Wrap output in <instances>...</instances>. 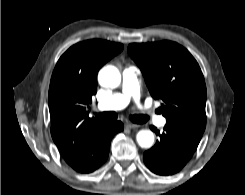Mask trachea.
I'll list each match as a JSON object with an SVG mask.
<instances>
[{
  "label": "trachea",
  "mask_w": 245,
  "mask_h": 195,
  "mask_svg": "<svg viewBox=\"0 0 245 195\" xmlns=\"http://www.w3.org/2000/svg\"><path fill=\"white\" fill-rule=\"evenodd\" d=\"M96 117L103 120H115L118 117V115L116 112L110 111L96 114ZM130 119L135 123L141 124L147 122L149 117L145 115H133L130 116Z\"/></svg>",
  "instance_id": "1"
}]
</instances>
